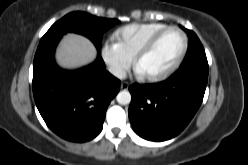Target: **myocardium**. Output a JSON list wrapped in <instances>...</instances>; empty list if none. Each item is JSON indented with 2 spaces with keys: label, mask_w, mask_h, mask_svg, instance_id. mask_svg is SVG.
I'll list each match as a JSON object with an SVG mask.
<instances>
[{
  "label": "myocardium",
  "mask_w": 248,
  "mask_h": 165,
  "mask_svg": "<svg viewBox=\"0 0 248 165\" xmlns=\"http://www.w3.org/2000/svg\"><path fill=\"white\" fill-rule=\"evenodd\" d=\"M178 31L183 38V44H182V48L179 52V54L174 58V60L168 65L166 66L164 69H162L159 72L153 73V74H149V75H144V78L150 81H155V80H159L165 76H167L168 74H170L179 64L180 62L183 60L187 49H188V37L187 34L178 26H167L163 29H161L160 31L154 33L144 44L143 46L137 51V53L134 56V66L135 68H138V63L139 61L146 55L148 54L151 49L155 46V44L157 43V41L167 32L169 31Z\"/></svg>",
  "instance_id": "f54148a6"
}]
</instances>
